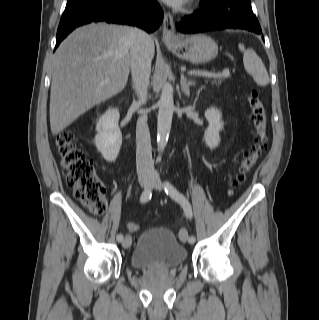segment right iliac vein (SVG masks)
Segmentation results:
<instances>
[{
	"label": "right iliac vein",
	"mask_w": 319,
	"mask_h": 320,
	"mask_svg": "<svg viewBox=\"0 0 319 320\" xmlns=\"http://www.w3.org/2000/svg\"><path fill=\"white\" fill-rule=\"evenodd\" d=\"M139 183L142 187H147L151 183V179L148 177H142L139 180ZM132 239L130 235H126L122 241L123 248H129L131 246Z\"/></svg>",
	"instance_id": "63e3f726"
}]
</instances>
